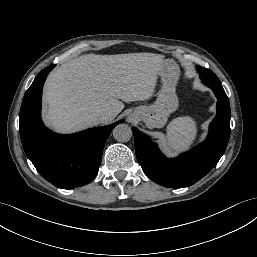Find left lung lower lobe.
I'll list each match as a JSON object with an SVG mask.
<instances>
[{
	"instance_id": "left-lung-lower-lobe-1",
	"label": "left lung lower lobe",
	"mask_w": 257,
	"mask_h": 257,
	"mask_svg": "<svg viewBox=\"0 0 257 257\" xmlns=\"http://www.w3.org/2000/svg\"><path fill=\"white\" fill-rule=\"evenodd\" d=\"M217 101V114L206 141L175 159H167L156 143L133 127L135 152L145 174L154 182L171 188L193 185L204 177L224 154L230 136L231 110L223 88H211Z\"/></svg>"
}]
</instances>
